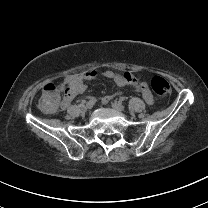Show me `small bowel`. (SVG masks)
<instances>
[{
  "label": "small bowel",
  "mask_w": 208,
  "mask_h": 208,
  "mask_svg": "<svg viewBox=\"0 0 208 208\" xmlns=\"http://www.w3.org/2000/svg\"><path fill=\"white\" fill-rule=\"evenodd\" d=\"M98 74V71H85L82 73L72 74L65 78L61 84L65 92V102H62V107L66 108L72 105V99L80 93H83L86 89L85 81L94 79ZM104 77L113 80L118 86L133 85L137 91L142 94L143 99L146 103H153V96L147 87L146 83L139 81L136 76L132 73H119L114 70H105ZM113 96L108 95L103 98V103L107 104L112 100Z\"/></svg>",
  "instance_id": "c3829d8e"
}]
</instances>
